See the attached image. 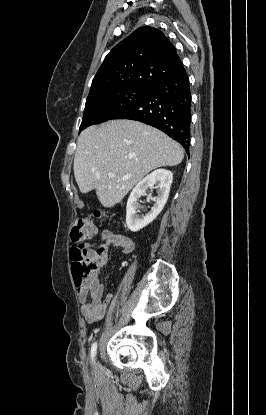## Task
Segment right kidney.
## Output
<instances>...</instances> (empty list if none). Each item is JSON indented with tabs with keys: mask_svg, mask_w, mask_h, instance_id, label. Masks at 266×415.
Segmentation results:
<instances>
[{
	"mask_svg": "<svg viewBox=\"0 0 266 415\" xmlns=\"http://www.w3.org/2000/svg\"><path fill=\"white\" fill-rule=\"evenodd\" d=\"M173 174L169 170L157 169L142 179L132 190L126 206V224L132 232H137L150 224L162 211L167 202ZM154 185H157L154 187ZM157 189V197L150 212L145 216L139 217L137 212L141 208L138 199L146 194L148 189ZM151 197V195H149Z\"/></svg>",
	"mask_w": 266,
	"mask_h": 415,
	"instance_id": "ca27d5eb",
	"label": "right kidney"
}]
</instances>
